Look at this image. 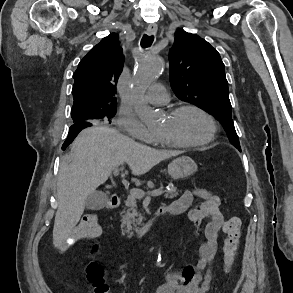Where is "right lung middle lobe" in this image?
<instances>
[{
    "mask_svg": "<svg viewBox=\"0 0 293 293\" xmlns=\"http://www.w3.org/2000/svg\"><path fill=\"white\" fill-rule=\"evenodd\" d=\"M116 108H106V109H85V108H72L71 115L73 123L81 121H94L103 120L109 121L115 116Z\"/></svg>",
    "mask_w": 293,
    "mask_h": 293,
    "instance_id": "obj_1",
    "label": "right lung middle lobe"
}]
</instances>
